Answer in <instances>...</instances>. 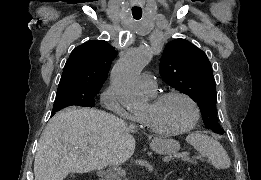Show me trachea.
Masks as SVG:
<instances>
[{
  "mask_svg": "<svg viewBox=\"0 0 261 180\" xmlns=\"http://www.w3.org/2000/svg\"><path fill=\"white\" fill-rule=\"evenodd\" d=\"M132 15L135 20H140L142 17V10L141 9H132Z\"/></svg>",
  "mask_w": 261,
  "mask_h": 180,
  "instance_id": "1",
  "label": "trachea"
}]
</instances>
